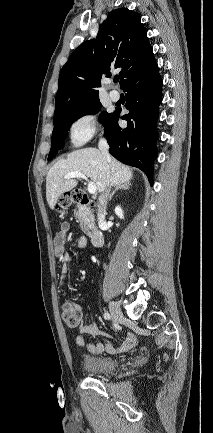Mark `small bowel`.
Returning <instances> with one entry per match:
<instances>
[{
    "label": "small bowel",
    "instance_id": "small-bowel-1",
    "mask_svg": "<svg viewBox=\"0 0 213 433\" xmlns=\"http://www.w3.org/2000/svg\"><path fill=\"white\" fill-rule=\"evenodd\" d=\"M70 224L63 222L54 237V252L60 260L61 285L66 287V277L69 272V265L73 261V255L66 250V240ZM87 243L85 236H80L77 241L78 247H84ZM85 335L92 337H101V341L87 343ZM76 344L80 347H86L90 353L98 354L104 351L110 354L126 352L137 344V337L134 334H128L125 340L119 346H113L108 340V334L101 331L95 323H83L79 326V335L76 337Z\"/></svg>",
    "mask_w": 213,
    "mask_h": 433
}]
</instances>
